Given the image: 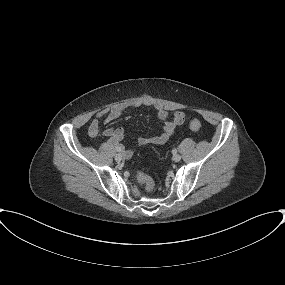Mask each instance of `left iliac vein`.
<instances>
[{
    "mask_svg": "<svg viewBox=\"0 0 285 285\" xmlns=\"http://www.w3.org/2000/svg\"><path fill=\"white\" fill-rule=\"evenodd\" d=\"M173 160H174L175 162H179V161L181 160V156H180L179 154H174V155H173Z\"/></svg>",
    "mask_w": 285,
    "mask_h": 285,
    "instance_id": "left-iliac-vein-1",
    "label": "left iliac vein"
}]
</instances>
